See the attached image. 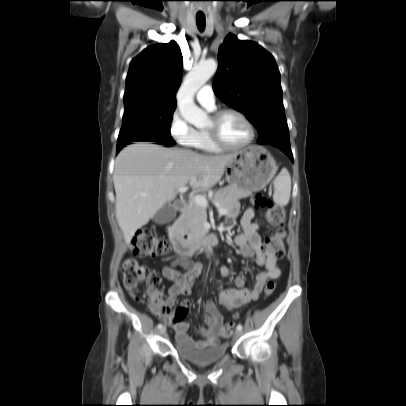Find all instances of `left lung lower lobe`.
Masks as SVG:
<instances>
[{
	"label": "left lung lower lobe",
	"instance_id": "1",
	"mask_svg": "<svg viewBox=\"0 0 406 406\" xmlns=\"http://www.w3.org/2000/svg\"><path fill=\"white\" fill-rule=\"evenodd\" d=\"M258 144H268V145H274L275 147L279 148L280 150H282L284 153H286L291 161L293 162V155H292V151H291V147L290 144H286V143H278L275 141H264V142H258Z\"/></svg>",
	"mask_w": 406,
	"mask_h": 406
}]
</instances>
